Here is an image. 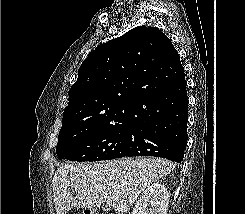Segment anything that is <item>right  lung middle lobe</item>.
<instances>
[{
  "mask_svg": "<svg viewBox=\"0 0 245 214\" xmlns=\"http://www.w3.org/2000/svg\"><path fill=\"white\" fill-rule=\"evenodd\" d=\"M132 119V116H126L115 121L89 124L63 117L56 147L58 158L78 162L116 158L125 144Z\"/></svg>",
  "mask_w": 245,
  "mask_h": 214,
  "instance_id": "right-lung-middle-lobe-1",
  "label": "right lung middle lobe"
}]
</instances>
